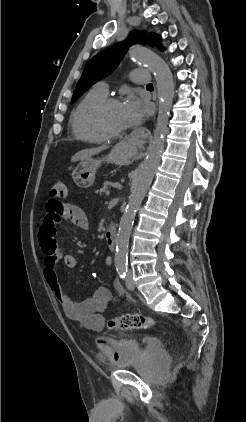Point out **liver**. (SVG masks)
Segmentation results:
<instances>
[{"instance_id":"1","label":"liver","mask_w":246,"mask_h":422,"mask_svg":"<svg viewBox=\"0 0 246 422\" xmlns=\"http://www.w3.org/2000/svg\"><path fill=\"white\" fill-rule=\"evenodd\" d=\"M108 146L104 145L101 147H97V148H91V149H85L82 151L77 152L71 159L72 162H76V161H83L87 158H90L93 155H96L98 153H100L101 151L107 149Z\"/></svg>"}]
</instances>
